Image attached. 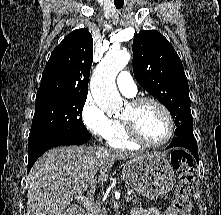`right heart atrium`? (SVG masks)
Listing matches in <instances>:
<instances>
[{
  "mask_svg": "<svg viewBox=\"0 0 221 215\" xmlns=\"http://www.w3.org/2000/svg\"><path fill=\"white\" fill-rule=\"evenodd\" d=\"M81 120L85 128L100 139H106L113 132V120L91 97H88L82 106Z\"/></svg>",
  "mask_w": 221,
  "mask_h": 215,
  "instance_id": "1",
  "label": "right heart atrium"
}]
</instances>
